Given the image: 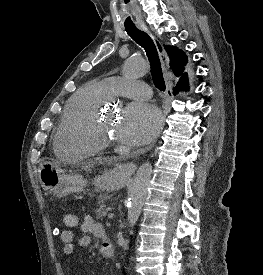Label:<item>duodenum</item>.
<instances>
[{
  "label": "duodenum",
  "instance_id": "duodenum-1",
  "mask_svg": "<svg viewBox=\"0 0 263 275\" xmlns=\"http://www.w3.org/2000/svg\"><path fill=\"white\" fill-rule=\"evenodd\" d=\"M113 255V247L110 241L107 239L106 240V247L105 251L103 252L104 257H111Z\"/></svg>",
  "mask_w": 263,
  "mask_h": 275
}]
</instances>
